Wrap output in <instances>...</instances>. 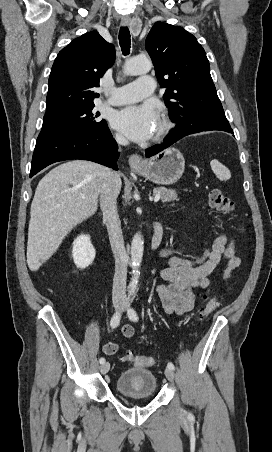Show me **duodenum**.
<instances>
[{
    "label": "duodenum",
    "mask_w": 272,
    "mask_h": 452,
    "mask_svg": "<svg viewBox=\"0 0 272 452\" xmlns=\"http://www.w3.org/2000/svg\"><path fill=\"white\" fill-rule=\"evenodd\" d=\"M163 237V227L159 220L153 223V235L150 242L151 249L155 250L159 247Z\"/></svg>",
    "instance_id": "obj_1"
}]
</instances>
